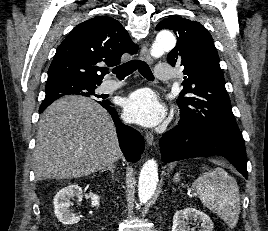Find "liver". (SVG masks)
<instances>
[{"mask_svg": "<svg viewBox=\"0 0 268 231\" xmlns=\"http://www.w3.org/2000/svg\"><path fill=\"white\" fill-rule=\"evenodd\" d=\"M121 156L112 118L94 100L65 96L43 112L33 152L37 180L88 176Z\"/></svg>", "mask_w": 268, "mask_h": 231, "instance_id": "obj_1", "label": "liver"}]
</instances>
